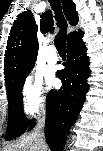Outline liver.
<instances>
[{
    "label": "liver",
    "instance_id": "obj_1",
    "mask_svg": "<svg viewBox=\"0 0 103 151\" xmlns=\"http://www.w3.org/2000/svg\"><path fill=\"white\" fill-rule=\"evenodd\" d=\"M43 135L37 132L23 135L15 143L3 148V151H46Z\"/></svg>",
    "mask_w": 103,
    "mask_h": 151
}]
</instances>
